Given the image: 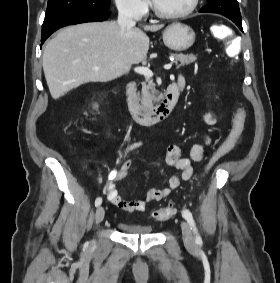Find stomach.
Wrapping results in <instances>:
<instances>
[{"instance_id": "0dacf381", "label": "stomach", "mask_w": 280, "mask_h": 283, "mask_svg": "<svg viewBox=\"0 0 280 283\" xmlns=\"http://www.w3.org/2000/svg\"><path fill=\"white\" fill-rule=\"evenodd\" d=\"M194 41V30L183 23H172L163 32V42L172 51H185L193 45Z\"/></svg>"}]
</instances>
